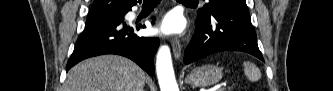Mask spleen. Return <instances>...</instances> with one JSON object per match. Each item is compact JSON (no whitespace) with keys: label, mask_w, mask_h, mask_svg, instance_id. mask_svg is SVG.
Masks as SVG:
<instances>
[{"label":"spleen","mask_w":333,"mask_h":91,"mask_svg":"<svg viewBox=\"0 0 333 91\" xmlns=\"http://www.w3.org/2000/svg\"><path fill=\"white\" fill-rule=\"evenodd\" d=\"M244 73L246 77L252 81L255 82L261 78V72L260 70L251 62H244Z\"/></svg>","instance_id":"1"}]
</instances>
